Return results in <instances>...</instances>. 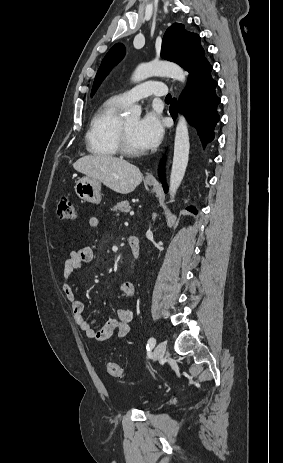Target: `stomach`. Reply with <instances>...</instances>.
Here are the masks:
<instances>
[{
	"label": "stomach",
	"mask_w": 283,
	"mask_h": 463,
	"mask_svg": "<svg viewBox=\"0 0 283 463\" xmlns=\"http://www.w3.org/2000/svg\"><path fill=\"white\" fill-rule=\"evenodd\" d=\"M147 185H152V182H146ZM76 195L83 201L93 204L101 202V183L100 181L83 177L79 179L74 187Z\"/></svg>",
	"instance_id": "0dacf381"
}]
</instances>
